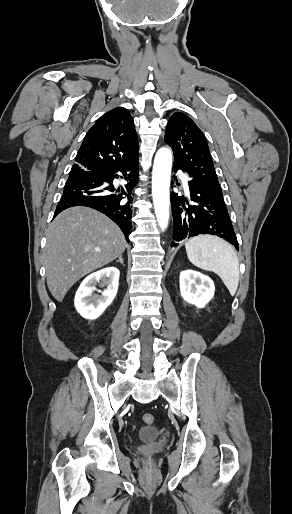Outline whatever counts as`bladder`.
<instances>
[{
    "instance_id": "1",
    "label": "bladder",
    "mask_w": 292,
    "mask_h": 514,
    "mask_svg": "<svg viewBox=\"0 0 292 514\" xmlns=\"http://www.w3.org/2000/svg\"><path fill=\"white\" fill-rule=\"evenodd\" d=\"M138 439L141 441H151L158 436V429L154 426H145L138 432Z\"/></svg>"
}]
</instances>
